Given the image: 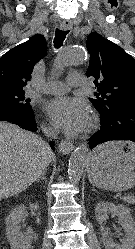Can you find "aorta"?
<instances>
[{"instance_id": "762f6f07", "label": "aorta", "mask_w": 135, "mask_h": 249, "mask_svg": "<svg viewBox=\"0 0 135 249\" xmlns=\"http://www.w3.org/2000/svg\"><path fill=\"white\" fill-rule=\"evenodd\" d=\"M86 60V50L83 47L67 46L57 56L53 68L58 72L63 68L82 64ZM89 158V148L86 144L79 145L71 154L68 175L73 182L80 180Z\"/></svg>"}]
</instances>
